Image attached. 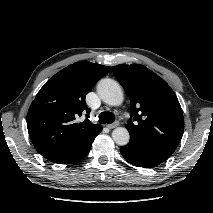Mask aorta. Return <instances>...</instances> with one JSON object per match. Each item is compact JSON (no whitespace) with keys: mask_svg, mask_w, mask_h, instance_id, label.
<instances>
[{"mask_svg":"<svg viewBox=\"0 0 213 213\" xmlns=\"http://www.w3.org/2000/svg\"><path fill=\"white\" fill-rule=\"evenodd\" d=\"M97 91L103 102L111 106H119L123 102V92L118 82L103 79L98 83ZM112 138L117 145L124 146L130 140V134L124 127H117L112 132Z\"/></svg>","mask_w":213,"mask_h":213,"instance_id":"762f6f07","label":"aorta"}]
</instances>
